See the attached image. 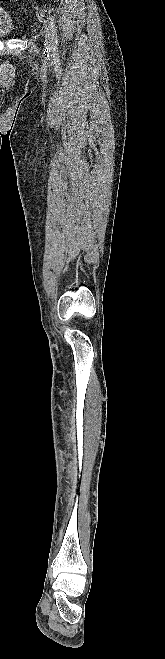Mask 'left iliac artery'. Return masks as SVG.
<instances>
[{
    "label": "left iliac artery",
    "instance_id": "44dca946",
    "mask_svg": "<svg viewBox=\"0 0 165 659\" xmlns=\"http://www.w3.org/2000/svg\"><path fill=\"white\" fill-rule=\"evenodd\" d=\"M48 21H49V28H50V31H51L52 37H53V39H54V42H55V43H58V39H57V27H56V25H55L54 19H53L52 17H48Z\"/></svg>",
    "mask_w": 165,
    "mask_h": 659
}]
</instances>
